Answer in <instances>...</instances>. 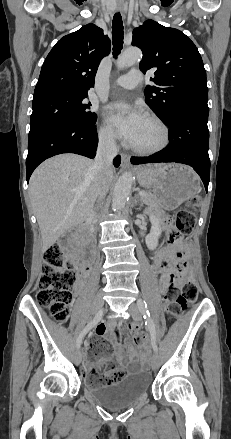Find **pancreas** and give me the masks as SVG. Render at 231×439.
Masks as SVG:
<instances>
[{
	"instance_id": "1",
	"label": "pancreas",
	"mask_w": 231,
	"mask_h": 439,
	"mask_svg": "<svg viewBox=\"0 0 231 439\" xmlns=\"http://www.w3.org/2000/svg\"><path fill=\"white\" fill-rule=\"evenodd\" d=\"M145 195L142 197L143 202L147 205L157 207L158 206V200L157 197L152 194L151 192L145 191Z\"/></svg>"
}]
</instances>
